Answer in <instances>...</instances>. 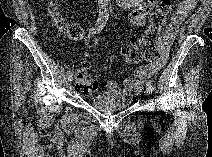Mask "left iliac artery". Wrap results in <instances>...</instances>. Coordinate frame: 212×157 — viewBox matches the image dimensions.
Listing matches in <instances>:
<instances>
[{
	"instance_id": "left-iliac-artery-1",
	"label": "left iliac artery",
	"mask_w": 212,
	"mask_h": 157,
	"mask_svg": "<svg viewBox=\"0 0 212 157\" xmlns=\"http://www.w3.org/2000/svg\"><path fill=\"white\" fill-rule=\"evenodd\" d=\"M146 86H147V89H149L151 92L153 91H155V87L152 85V83L151 82H147L146 83Z\"/></svg>"
}]
</instances>
